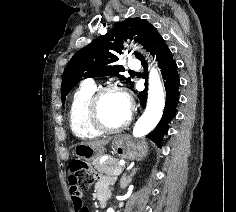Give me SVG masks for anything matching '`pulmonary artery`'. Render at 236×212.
Wrapping results in <instances>:
<instances>
[{
	"label": "pulmonary artery",
	"mask_w": 236,
	"mask_h": 212,
	"mask_svg": "<svg viewBox=\"0 0 236 212\" xmlns=\"http://www.w3.org/2000/svg\"><path fill=\"white\" fill-rule=\"evenodd\" d=\"M128 67L131 69V70H137L140 68V63L138 60H135V59H132L128 62ZM88 84H93L92 81H88L87 82Z\"/></svg>",
	"instance_id": "e3ab8cb5"
}]
</instances>
